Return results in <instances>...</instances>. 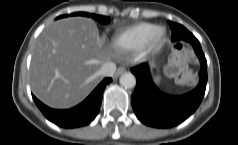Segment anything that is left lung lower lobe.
<instances>
[{"instance_id": "left-lung-lower-lobe-1", "label": "left lung lower lobe", "mask_w": 238, "mask_h": 145, "mask_svg": "<svg viewBox=\"0 0 238 145\" xmlns=\"http://www.w3.org/2000/svg\"><path fill=\"white\" fill-rule=\"evenodd\" d=\"M173 42L186 41L193 45L200 59V82L191 92L182 96L162 93L153 83L148 64L143 63L131 69L136 76V88L131 103L137 118L145 125L155 128H171L192 115L199 107L207 84V61L199 41L182 25L169 22Z\"/></svg>"}]
</instances>
